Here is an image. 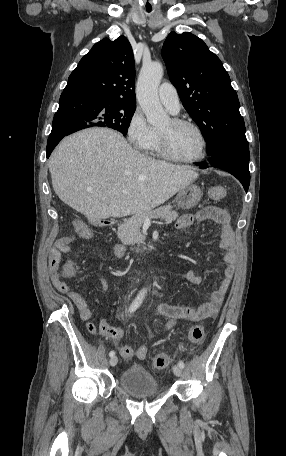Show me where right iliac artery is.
I'll return each instance as SVG.
<instances>
[{"mask_svg": "<svg viewBox=\"0 0 286 456\" xmlns=\"http://www.w3.org/2000/svg\"><path fill=\"white\" fill-rule=\"evenodd\" d=\"M145 297V291L142 290L139 292V294L137 295V297L135 298V300L132 302V304L130 305L129 309H128V312L130 314H132L133 312H135L137 310V308L141 305V303L143 302V299ZM115 355V352L114 351H110L109 352V356L110 357H113Z\"/></svg>", "mask_w": 286, "mask_h": 456, "instance_id": "obj_1", "label": "right iliac artery"}]
</instances>
